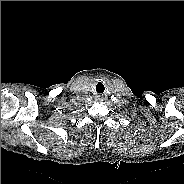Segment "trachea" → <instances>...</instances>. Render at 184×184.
<instances>
[{"mask_svg":"<svg viewBox=\"0 0 184 184\" xmlns=\"http://www.w3.org/2000/svg\"><path fill=\"white\" fill-rule=\"evenodd\" d=\"M94 91L96 94L98 95H103L106 91V86L104 83L102 82H98L95 87H94Z\"/></svg>","mask_w":184,"mask_h":184,"instance_id":"obj_1","label":"trachea"}]
</instances>
